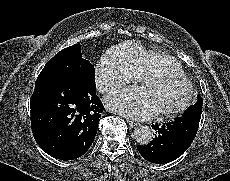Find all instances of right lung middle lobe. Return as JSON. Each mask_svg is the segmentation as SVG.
<instances>
[{"mask_svg":"<svg viewBox=\"0 0 230 181\" xmlns=\"http://www.w3.org/2000/svg\"><path fill=\"white\" fill-rule=\"evenodd\" d=\"M48 80H72L85 86L95 88V68L82 58L78 44L58 52L45 65L39 74L36 84Z\"/></svg>","mask_w":230,"mask_h":181,"instance_id":"1","label":"right lung middle lobe"}]
</instances>
